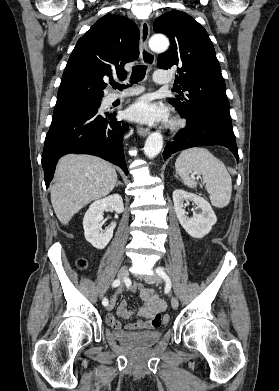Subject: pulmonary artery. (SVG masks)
<instances>
[{"label": "pulmonary artery", "instance_id": "e3ab8cb5", "mask_svg": "<svg viewBox=\"0 0 279 391\" xmlns=\"http://www.w3.org/2000/svg\"><path fill=\"white\" fill-rule=\"evenodd\" d=\"M154 80L157 83L165 84V83H170L171 82V77L169 76V74H167L164 71L160 70V71H157L154 74ZM141 91H142L141 89H135V90L124 92L122 94H112V95H110L107 98V101L108 102H113V101H115L116 99H119V98H123V97H126V96H131V95H136V94L140 93Z\"/></svg>", "mask_w": 279, "mask_h": 391}]
</instances>
